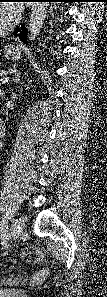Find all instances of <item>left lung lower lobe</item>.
I'll list each match as a JSON object with an SVG mask.
<instances>
[{
  "label": "left lung lower lobe",
  "instance_id": "left-lung-lower-lobe-1",
  "mask_svg": "<svg viewBox=\"0 0 107 297\" xmlns=\"http://www.w3.org/2000/svg\"><path fill=\"white\" fill-rule=\"evenodd\" d=\"M36 1H44V0H36ZM46 1H49V2H69L68 0H46ZM19 29H17L16 32H18ZM26 28L25 27H22V31L21 33L19 34L20 38L22 41H26Z\"/></svg>",
  "mask_w": 107,
  "mask_h": 297
}]
</instances>
